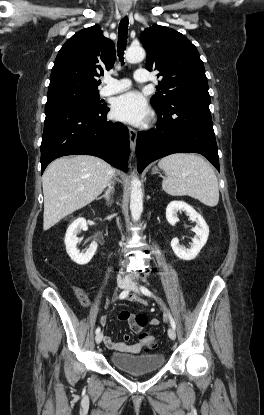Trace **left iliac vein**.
<instances>
[{"label":"left iliac vein","mask_w":264,"mask_h":415,"mask_svg":"<svg viewBox=\"0 0 264 415\" xmlns=\"http://www.w3.org/2000/svg\"><path fill=\"white\" fill-rule=\"evenodd\" d=\"M129 289H130V290H132V291H134V292H136V293H138V292H139V288H138V286L136 285V283H134V282H131V283H130V285H129ZM168 336H169V337H170V339H172V340H175V339H176V332H175V329H174V328L170 327V328L168 329Z\"/></svg>","instance_id":"1"}]
</instances>
